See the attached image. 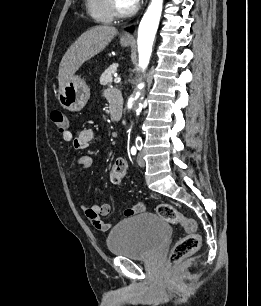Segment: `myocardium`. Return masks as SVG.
Masks as SVG:
<instances>
[{
	"mask_svg": "<svg viewBox=\"0 0 261 306\" xmlns=\"http://www.w3.org/2000/svg\"><path fill=\"white\" fill-rule=\"evenodd\" d=\"M109 1V7L116 17H127L131 14H133L136 10V6H131L128 9H121L118 5L116 0H108Z\"/></svg>",
	"mask_w": 261,
	"mask_h": 306,
	"instance_id": "obj_1",
	"label": "myocardium"
}]
</instances>
